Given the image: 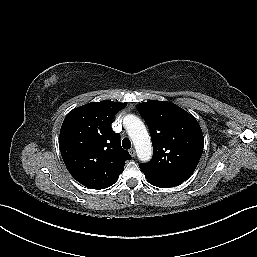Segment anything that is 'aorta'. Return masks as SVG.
<instances>
[{"label": "aorta", "mask_w": 257, "mask_h": 257, "mask_svg": "<svg viewBox=\"0 0 257 257\" xmlns=\"http://www.w3.org/2000/svg\"><path fill=\"white\" fill-rule=\"evenodd\" d=\"M124 123L135 146L138 158L144 162L149 161L152 156V145L144 123L134 115H127L124 118Z\"/></svg>", "instance_id": "obj_1"}]
</instances>
